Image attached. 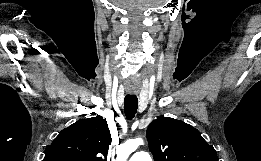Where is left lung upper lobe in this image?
I'll list each match as a JSON object with an SVG mask.
<instances>
[{"label":"left lung upper lobe","instance_id":"1","mask_svg":"<svg viewBox=\"0 0 261 161\" xmlns=\"http://www.w3.org/2000/svg\"><path fill=\"white\" fill-rule=\"evenodd\" d=\"M146 135L154 161H218L213 146L181 120L158 118L149 125Z\"/></svg>","mask_w":261,"mask_h":161}]
</instances>
